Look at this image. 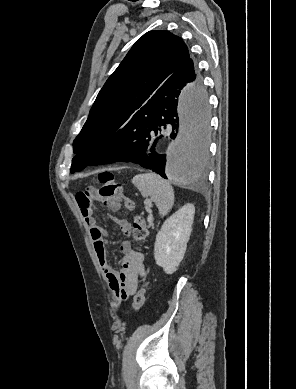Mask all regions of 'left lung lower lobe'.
Returning <instances> with one entry per match:
<instances>
[{"instance_id":"left-lung-lower-lobe-1","label":"left lung lower lobe","mask_w":296,"mask_h":389,"mask_svg":"<svg viewBox=\"0 0 296 389\" xmlns=\"http://www.w3.org/2000/svg\"><path fill=\"white\" fill-rule=\"evenodd\" d=\"M185 85L189 88L194 112V122L185 135L194 163L193 178L200 176L207 161L208 103L201 80H194L192 75L168 78L153 95L151 104L135 113L100 150L98 165L132 162L166 178V155L157 151V144L163 137V129H171L172 139L179 132L178 97Z\"/></svg>"}]
</instances>
